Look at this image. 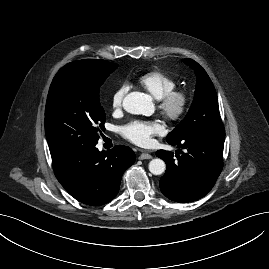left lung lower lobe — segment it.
<instances>
[{"label":"left lung lower lobe","mask_w":269,"mask_h":269,"mask_svg":"<svg viewBox=\"0 0 269 269\" xmlns=\"http://www.w3.org/2000/svg\"><path fill=\"white\" fill-rule=\"evenodd\" d=\"M225 131L197 129L176 142H168L186 149L179 155L159 150L156 155L167 165L160 179L161 192L170 200L186 203L205 196L214 186L223 167Z\"/></svg>","instance_id":"1"}]
</instances>
